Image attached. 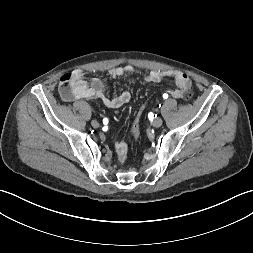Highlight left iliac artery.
<instances>
[{"label":"left iliac artery","instance_id":"left-iliac-artery-1","mask_svg":"<svg viewBox=\"0 0 253 253\" xmlns=\"http://www.w3.org/2000/svg\"><path fill=\"white\" fill-rule=\"evenodd\" d=\"M163 97H164V98H167V97H168V95L164 94V95H163Z\"/></svg>","mask_w":253,"mask_h":253}]
</instances>
